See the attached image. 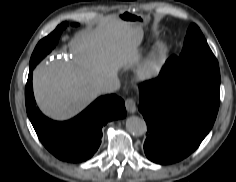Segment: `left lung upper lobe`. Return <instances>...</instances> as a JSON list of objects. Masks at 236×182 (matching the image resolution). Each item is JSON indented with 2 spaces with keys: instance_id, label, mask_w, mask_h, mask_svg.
Wrapping results in <instances>:
<instances>
[{
  "instance_id": "left-lung-upper-lobe-1",
  "label": "left lung upper lobe",
  "mask_w": 236,
  "mask_h": 182,
  "mask_svg": "<svg viewBox=\"0 0 236 182\" xmlns=\"http://www.w3.org/2000/svg\"><path fill=\"white\" fill-rule=\"evenodd\" d=\"M168 76L220 84L218 61L196 24L189 26L181 54L168 59Z\"/></svg>"
}]
</instances>
